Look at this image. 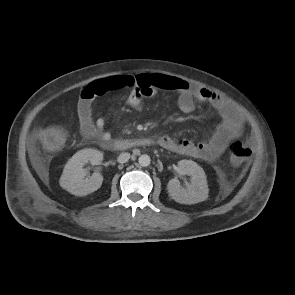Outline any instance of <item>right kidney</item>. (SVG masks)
I'll return each mask as SVG.
<instances>
[{
	"instance_id": "obj_1",
	"label": "right kidney",
	"mask_w": 295,
	"mask_h": 295,
	"mask_svg": "<svg viewBox=\"0 0 295 295\" xmlns=\"http://www.w3.org/2000/svg\"><path fill=\"white\" fill-rule=\"evenodd\" d=\"M103 160V154L95 149L87 148L75 153L64 167L60 178V186L76 196H86L98 190L103 182V176L95 172L91 177L85 178L83 166L90 162L98 165Z\"/></svg>"
}]
</instances>
